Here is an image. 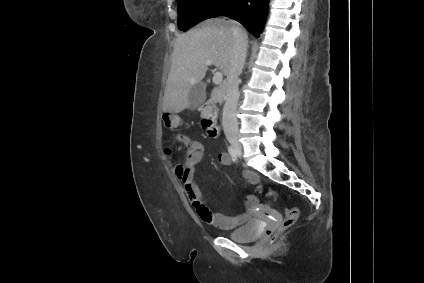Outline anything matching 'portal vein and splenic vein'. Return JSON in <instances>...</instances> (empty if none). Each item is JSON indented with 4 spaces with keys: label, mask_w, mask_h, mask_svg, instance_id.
<instances>
[{
    "label": "portal vein and splenic vein",
    "mask_w": 424,
    "mask_h": 283,
    "mask_svg": "<svg viewBox=\"0 0 424 283\" xmlns=\"http://www.w3.org/2000/svg\"><path fill=\"white\" fill-rule=\"evenodd\" d=\"M206 64L208 66H211L212 65V61L207 60L206 61ZM212 80H213V83L215 85H220L222 83V81H223V74H222V72L215 70Z\"/></svg>",
    "instance_id": "18ae733b"
}]
</instances>
